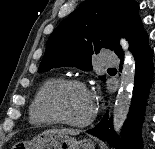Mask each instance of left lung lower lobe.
I'll list each match as a JSON object with an SVG mask.
<instances>
[{
    "label": "left lung lower lobe",
    "mask_w": 155,
    "mask_h": 149,
    "mask_svg": "<svg viewBox=\"0 0 155 149\" xmlns=\"http://www.w3.org/2000/svg\"><path fill=\"white\" fill-rule=\"evenodd\" d=\"M129 44V49L132 51L136 61V77L132 107L130 108L128 120L125 123V128L122 133V144L120 143L119 136L114 132L112 121H108V114L104 116L95 128L87 131L89 134L103 141H107L116 149H140L141 147L140 127L143 122L146 97L151 86L154 68L151 61L153 51L148 46V37L142 26L129 40ZM115 53L120 58L123 57L121 48Z\"/></svg>",
    "instance_id": "left-lung-lower-lobe-1"
}]
</instances>
